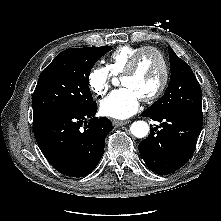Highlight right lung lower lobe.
Returning <instances> with one entry per match:
<instances>
[{"instance_id": "right-lung-lower-lobe-1", "label": "right lung lower lobe", "mask_w": 221, "mask_h": 221, "mask_svg": "<svg viewBox=\"0 0 221 221\" xmlns=\"http://www.w3.org/2000/svg\"><path fill=\"white\" fill-rule=\"evenodd\" d=\"M96 112L94 103L84 110H57L34 116L38 146L58 172L84 177L98 164L112 123L105 117H95Z\"/></svg>"}]
</instances>
